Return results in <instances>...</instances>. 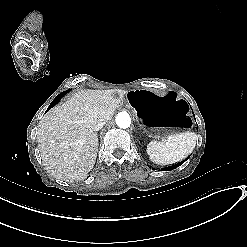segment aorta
Here are the masks:
<instances>
[{
    "label": "aorta",
    "instance_id": "762f6f07",
    "mask_svg": "<svg viewBox=\"0 0 247 247\" xmlns=\"http://www.w3.org/2000/svg\"><path fill=\"white\" fill-rule=\"evenodd\" d=\"M116 124L118 127L126 129L131 125V118L128 113L126 112H120L116 116Z\"/></svg>",
    "mask_w": 247,
    "mask_h": 247
}]
</instances>
